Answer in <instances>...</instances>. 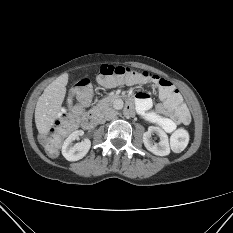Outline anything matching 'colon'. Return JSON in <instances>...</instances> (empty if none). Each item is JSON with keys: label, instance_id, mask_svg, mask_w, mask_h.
I'll list each match as a JSON object with an SVG mask.
<instances>
[{"label": "colon", "instance_id": "obj_1", "mask_svg": "<svg viewBox=\"0 0 233 233\" xmlns=\"http://www.w3.org/2000/svg\"><path fill=\"white\" fill-rule=\"evenodd\" d=\"M148 81L157 89L160 98L167 100L174 108L173 117L177 121L185 119V105L182 97L173 84L164 78L151 75L146 71L134 70L128 67L103 64L100 67L98 81L105 87H115L121 84H137L140 81ZM92 95V84L89 79L83 78L70 91L67 110L57 125L50 132L42 136L41 141L50 154H56L62 140L78 127L82 108ZM189 141L186 130L179 129L171 137V148L180 152L184 150Z\"/></svg>", "mask_w": 233, "mask_h": 233}]
</instances>
